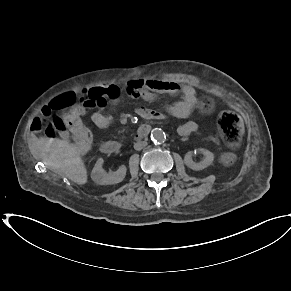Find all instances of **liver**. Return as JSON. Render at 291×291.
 <instances>
[{"label":"liver","mask_w":291,"mask_h":291,"mask_svg":"<svg viewBox=\"0 0 291 291\" xmlns=\"http://www.w3.org/2000/svg\"><path fill=\"white\" fill-rule=\"evenodd\" d=\"M28 143L33 156L49 169L79 185L87 183V170L77 146L68 140L35 136Z\"/></svg>","instance_id":"obj_1"}]
</instances>
